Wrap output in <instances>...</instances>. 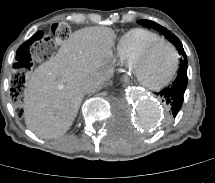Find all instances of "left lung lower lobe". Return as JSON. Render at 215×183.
<instances>
[{
    "label": "left lung lower lobe",
    "instance_id": "0a47b994",
    "mask_svg": "<svg viewBox=\"0 0 215 183\" xmlns=\"http://www.w3.org/2000/svg\"><path fill=\"white\" fill-rule=\"evenodd\" d=\"M187 63H180L177 77L172 85L158 92L157 95L167 105L168 119L176 117L184 99V93L187 86Z\"/></svg>",
    "mask_w": 215,
    "mask_h": 183
}]
</instances>
